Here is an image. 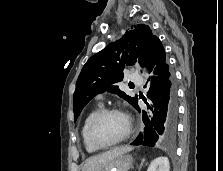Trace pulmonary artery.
I'll return each instance as SVG.
<instances>
[{"label": "pulmonary artery", "mask_w": 223, "mask_h": 171, "mask_svg": "<svg viewBox=\"0 0 223 171\" xmlns=\"http://www.w3.org/2000/svg\"><path fill=\"white\" fill-rule=\"evenodd\" d=\"M130 80L133 82V83H135V84H137V85H141L142 84V79H141V77L139 76V75H137V74H132L131 76H130ZM98 99H103V95L101 94V95H99L98 96Z\"/></svg>", "instance_id": "1"}]
</instances>
